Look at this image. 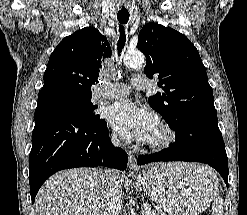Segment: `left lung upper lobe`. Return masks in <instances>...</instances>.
<instances>
[{"label":"left lung upper lobe","mask_w":247,"mask_h":215,"mask_svg":"<svg viewBox=\"0 0 247 215\" xmlns=\"http://www.w3.org/2000/svg\"><path fill=\"white\" fill-rule=\"evenodd\" d=\"M137 47L146 56V76H158L164 90L148 102L174 131L198 121L218 122L205 66L185 35L149 23L140 31Z\"/></svg>","instance_id":"1"}]
</instances>
